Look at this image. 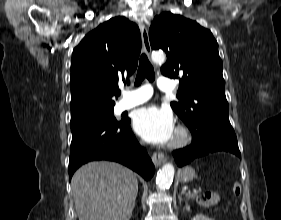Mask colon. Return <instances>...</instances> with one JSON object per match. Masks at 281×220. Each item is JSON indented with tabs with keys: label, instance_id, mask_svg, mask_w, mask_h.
<instances>
[{
	"label": "colon",
	"instance_id": "1",
	"mask_svg": "<svg viewBox=\"0 0 281 220\" xmlns=\"http://www.w3.org/2000/svg\"><path fill=\"white\" fill-rule=\"evenodd\" d=\"M233 194L234 196L241 194V186L238 183L233 186ZM199 201L206 206L214 205L219 201V194L216 191L205 192L200 196Z\"/></svg>",
	"mask_w": 281,
	"mask_h": 220
}]
</instances>
